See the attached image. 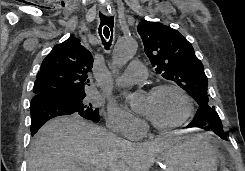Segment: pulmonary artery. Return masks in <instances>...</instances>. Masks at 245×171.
Instances as JSON below:
<instances>
[{"instance_id":"pulmonary-artery-1","label":"pulmonary artery","mask_w":245,"mask_h":171,"mask_svg":"<svg viewBox=\"0 0 245 171\" xmlns=\"http://www.w3.org/2000/svg\"><path fill=\"white\" fill-rule=\"evenodd\" d=\"M147 76L145 66L138 60L132 61L125 73L116 81L117 86H127L145 79Z\"/></svg>"}]
</instances>
